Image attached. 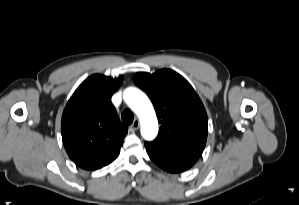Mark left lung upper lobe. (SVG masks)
<instances>
[{
  "mask_svg": "<svg viewBox=\"0 0 299 205\" xmlns=\"http://www.w3.org/2000/svg\"><path fill=\"white\" fill-rule=\"evenodd\" d=\"M134 82L151 99L161 124L156 139H186L206 143L208 119L205 108L188 81L180 74L162 69L154 74L140 72Z\"/></svg>",
  "mask_w": 299,
  "mask_h": 205,
  "instance_id": "obj_1",
  "label": "left lung upper lobe"
}]
</instances>
